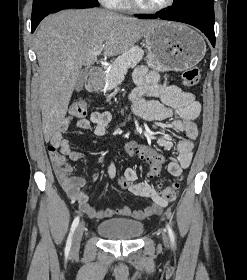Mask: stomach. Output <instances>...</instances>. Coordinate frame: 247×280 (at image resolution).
I'll return each instance as SVG.
<instances>
[{
    "label": "stomach",
    "mask_w": 247,
    "mask_h": 280,
    "mask_svg": "<svg viewBox=\"0 0 247 280\" xmlns=\"http://www.w3.org/2000/svg\"><path fill=\"white\" fill-rule=\"evenodd\" d=\"M147 63L159 71H184L205 55L202 36L187 25L162 22L145 36Z\"/></svg>",
    "instance_id": "1"
}]
</instances>
